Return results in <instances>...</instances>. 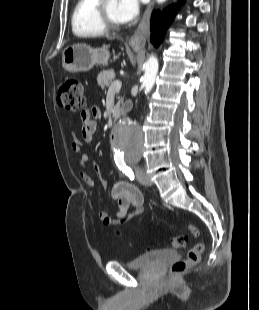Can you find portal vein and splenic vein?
<instances>
[{
	"mask_svg": "<svg viewBox=\"0 0 259 310\" xmlns=\"http://www.w3.org/2000/svg\"><path fill=\"white\" fill-rule=\"evenodd\" d=\"M121 86H122L121 81H119V80L114 81V82L111 84V86L109 87L108 92H117V91H120Z\"/></svg>",
	"mask_w": 259,
	"mask_h": 310,
	"instance_id": "1",
	"label": "portal vein and splenic vein"
}]
</instances>
